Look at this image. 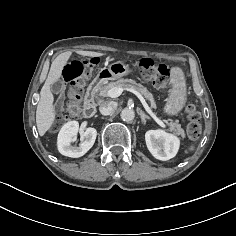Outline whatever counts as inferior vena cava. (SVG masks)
<instances>
[{
    "instance_id": "1",
    "label": "inferior vena cava",
    "mask_w": 236,
    "mask_h": 236,
    "mask_svg": "<svg viewBox=\"0 0 236 236\" xmlns=\"http://www.w3.org/2000/svg\"><path fill=\"white\" fill-rule=\"evenodd\" d=\"M114 110V105L111 102H104L99 106V111L102 115H110Z\"/></svg>"
}]
</instances>
